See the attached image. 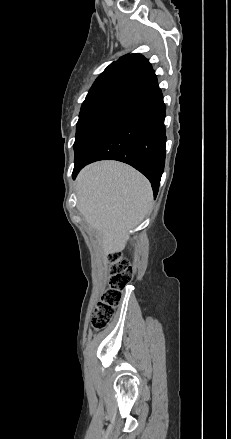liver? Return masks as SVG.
Returning <instances> with one entry per match:
<instances>
[{
    "mask_svg": "<svg viewBox=\"0 0 231 439\" xmlns=\"http://www.w3.org/2000/svg\"><path fill=\"white\" fill-rule=\"evenodd\" d=\"M77 208L96 231L105 254L124 249L130 230L152 208L150 182L134 168L117 161L86 166L76 181Z\"/></svg>",
    "mask_w": 231,
    "mask_h": 439,
    "instance_id": "1",
    "label": "liver"
}]
</instances>
